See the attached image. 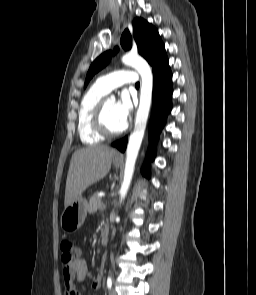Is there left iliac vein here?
<instances>
[{"label": "left iliac vein", "instance_id": "obj_1", "mask_svg": "<svg viewBox=\"0 0 256 295\" xmlns=\"http://www.w3.org/2000/svg\"><path fill=\"white\" fill-rule=\"evenodd\" d=\"M109 295H116L115 290H114V289H111V290L109 291Z\"/></svg>", "mask_w": 256, "mask_h": 295}]
</instances>
